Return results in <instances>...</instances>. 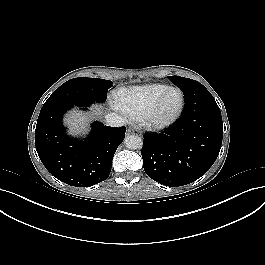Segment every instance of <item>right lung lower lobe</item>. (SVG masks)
<instances>
[{
	"mask_svg": "<svg viewBox=\"0 0 265 265\" xmlns=\"http://www.w3.org/2000/svg\"><path fill=\"white\" fill-rule=\"evenodd\" d=\"M71 104L43 106L36 125L35 145L46 169L60 181L75 187H89L110 174L112 159L125 137L126 127H109L100 122L84 140L66 135L63 114ZM87 110L88 106H78Z\"/></svg>",
	"mask_w": 265,
	"mask_h": 265,
	"instance_id": "1",
	"label": "right lung lower lobe"
}]
</instances>
